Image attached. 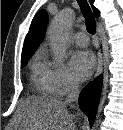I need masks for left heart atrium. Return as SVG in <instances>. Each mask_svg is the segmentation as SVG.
Masks as SVG:
<instances>
[{
    "instance_id": "obj_1",
    "label": "left heart atrium",
    "mask_w": 123,
    "mask_h": 130,
    "mask_svg": "<svg viewBox=\"0 0 123 130\" xmlns=\"http://www.w3.org/2000/svg\"><path fill=\"white\" fill-rule=\"evenodd\" d=\"M70 64L75 77L80 81H84L93 73L96 60L92 52L80 50L73 53Z\"/></svg>"
}]
</instances>
